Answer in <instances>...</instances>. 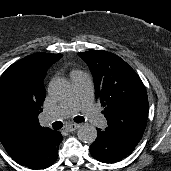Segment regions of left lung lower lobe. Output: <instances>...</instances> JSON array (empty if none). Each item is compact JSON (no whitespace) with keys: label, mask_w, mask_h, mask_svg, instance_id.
I'll use <instances>...</instances> for the list:
<instances>
[{"label":"left lung lower lobe","mask_w":171,"mask_h":171,"mask_svg":"<svg viewBox=\"0 0 171 171\" xmlns=\"http://www.w3.org/2000/svg\"><path fill=\"white\" fill-rule=\"evenodd\" d=\"M138 143L111 129L97 128V138L90 146V153L100 162L115 163L129 155Z\"/></svg>","instance_id":"obj_1"}]
</instances>
